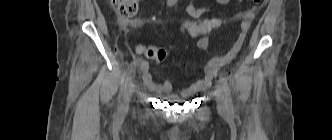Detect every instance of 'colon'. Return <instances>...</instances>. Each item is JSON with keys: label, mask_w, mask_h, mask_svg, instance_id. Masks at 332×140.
I'll use <instances>...</instances> for the list:
<instances>
[{"label": "colon", "mask_w": 332, "mask_h": 140, "mask_svg": "<svg viewBox=\"0 0 332 140\" xmlns=\"http://www.w3.org/2000/svg\"><path fill=\"white\" fill-rule=\"evenodd\" d=\"M118 15L122 18L129 19L135 16L138 10L137 0H110ZM255 4H261L267 0H252ZM220 26V21L216 18H207L200 22L183 21L178 25L181 33H187L193 37L206 36L212 30ZM145 54L157 61L161 62L166 56V52L162 48L149 47L144 49Z\"/></svg>", "instance_id": "obj_1"}]
</instances>
